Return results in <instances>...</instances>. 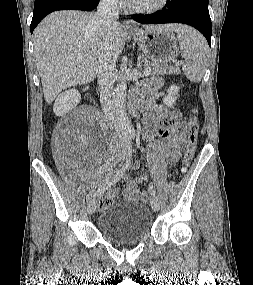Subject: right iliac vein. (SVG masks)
I'll return each instance as SVG.
<instances>
[{
    "label": "right iliac vein",
    "mask_w": 253,
    "mask_h": 285,
    "mask_svg": "<svg viewBox=\"0 0 253 285\" xmlns=\"http://www.w3.org/2000/svg\"><path fill=\"white\" fill-rule=\"evenodd\" d=\"M87 205H88L87 206L88 213L93 214L96 211V207H97L96 199L94 197L90 198Z\"/></svg>",
    "instance_id": "1"
}]
</instances>
